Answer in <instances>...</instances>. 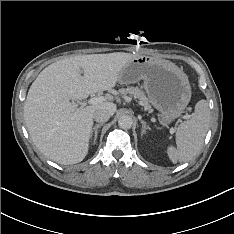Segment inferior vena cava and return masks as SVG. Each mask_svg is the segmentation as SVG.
<instances>
[{"label":"inferior vena cava","mask_w":234,"mask_h":234,"mask_svg":"<svg viewBox=\"0 0 234 234\" xmlns=\"http://www.w3.org/2000/svg\"><path fill=\"white\" fill-rule=\"evenodd\" d=\"M110 116H111L110 112L106 109H98L93 114V118L95 119L96 122L99 123L107 122Z\"/></svg>","instance_id":"inferior-vena-cava-1"}]
</instances>
